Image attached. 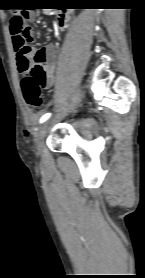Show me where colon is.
I'll return each mask as SVG.
<instances>
[{
    "label": "colon",
    "instance_id": "obj_1",
    "mask_svg": "<svg viewBox=\"0 0 145 278\" xmlns=\"http://www.w3.org/2000/svg\"><path fill=\"white\" fill-rule=\"evenodd\" d=\"M30 17V11L27 8L15 13L10 22V33L13 37V44L17 52L31 55V48L27 45L28 30L26 20ZM46 80L44 62L37 57L32 69L24 74L21 82V89L26 103L31 107H39L42 104L43 97L41 87Z\"/></svg>",
    "mask_w": 145,
    "mask_h": 278
}]
</instances>
